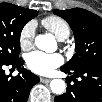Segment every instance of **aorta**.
<instances>
[{"instance_id": "obj_1", "label": "aorta", "mask_w": 102, "mask_h": 102, "mask_svg": "<svg viewBox=\"0 0 102 102\" xmlns=\"http://www.w3.org/2000/svg\"><path fill=\"white\" fill-rule=\"evenodd\" d=\"M35 45L48 53L54 52L57 49L55 38L52 34H41L35 38ZM51 91L57 95L64 93L66 84L62 79H53L50 82Z\"/></svg>"}]
</instances>
